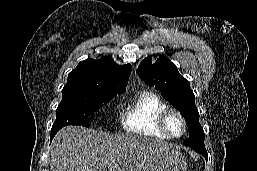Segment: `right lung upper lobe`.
I'll use <instances>...</instances> for the list:
<instances>
[{
    "mask_svg": "<svg viewBox=\"0 0 257 171\" xmlns=\"http://www.w3.org/2000/svg\"><path fill=\"white\" fill-rule=\"evenodd\" d=\"M131 74L129 64L119 66L110 57L87 59L68 74L64 88L83 87L124 93Z\"/></svg>",
    "mask_w": 257,
    "mask_h": 171,
    "instance_id": "cb5924a9",
    "label": "right lung upper lobe"
}]
</instances>
